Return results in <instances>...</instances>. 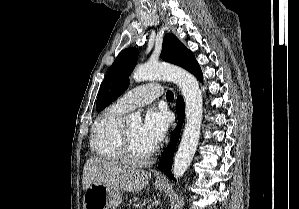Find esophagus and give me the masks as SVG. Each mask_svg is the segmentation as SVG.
<instances>
[{
  "label": "esophagus",
  "mask_w": 299,
  "mask_h": 209,
  "mask_svg": "<svg viewBox=\"0 0 299 209\" xmlns=\"http://www.w3.org/2000/svg\"><path fill=\"white\" fill-rule=\"evenodd\" d=\"M163 176L160 173L156 174V180H163Z\"/></svg>",
  "instance_id": "obj_1"
}]
</instances>
